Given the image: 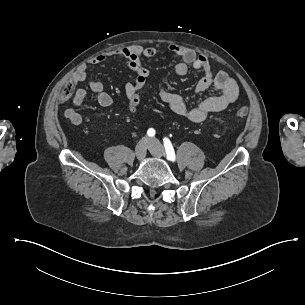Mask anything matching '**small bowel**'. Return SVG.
<instances>
[{
  "mask_svg": "<svg viewBox=\"0 0 305 305\" xmlns=\"http://www.w3.org/2000/svg\"><path fill=\"white\" fill-rule=\"evenodd\" d=\"M168 48L180 59L173 69L174 75L184 76L188 73L189 66H192L203 73L196 87L197 92H204L210 88L219 92L218 95L207 97L190 107L182 96L169 91L166 85L162 84L159 88V97L173 113L185 117L190 122L201 123L210 114L223 111L236 101L238 97L236 81L224 71L213 72L206 56L197 54L194 50L182 45L171 44ZM157 52L158 49L155 46L139 44L117 48L106 54L91 57L87 64L78 68L72 80L75 85L86 81L89 88L97 94L99 105L108 108L112 105L113 99L105 91L102 82L88 78V66L104 63L109 58L124 60L126 66L136 74L134 82L125 85V94L128 96L136 88L146 85L149 70L142 60L154 57ZM86 95L84 88H76L71 105L64 111L65 117L74 125L82 123V116L76 108L84 102Z\"/></svg>",
  "mask_w": 305,
  "mask_h": 305,
  "instance_id": "c3829d8e",
  "label": "small bowel"
}]
</instances>
